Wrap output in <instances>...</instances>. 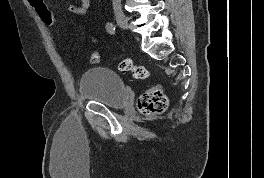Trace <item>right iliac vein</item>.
Instances as JSON below:
<instances>
[{
	"label": "right iliac vein",
	"instance_id": "obj_1",
	"mask_svg": "<svg viewBox=\"0 0 264 178\" xmlns=\"http://www.w3.org/2000/svg\"><path fill=\"white\" fill-rule=\"evenodd\" d=\"M116 21L120 28L126 30L128 29V21L124 14L122 13H116L115 14Z\"/></svg>",
	"mask_w": 264,
	"mask_h": 178
}]
</instances>
